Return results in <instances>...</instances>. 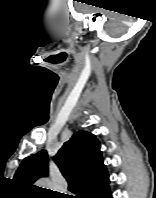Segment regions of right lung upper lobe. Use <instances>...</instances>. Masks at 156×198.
Wrapping results in <instances>:
<instances>
[{
    "label": "right lung upper lobe",
    "instance_id": "right-lung-upper-lobe-1",
    "mask_svg": "<svg viewBox=\"0 0 156 198\" xmlns=\"http://www.w3.org/2000/svg\"><path fill=\"white\" fill-rule=\"evenodd\" d=\"M61 173L68 181V189L83 198H96L109 186V175L103 163L99 141L92 133L76 132L54 156ZM48 175V155L45 150L23 160L14 179L31 186Z\"/></svg>",
    "mask_w": 156,
    "mask_h": 198
}]
</instances>
